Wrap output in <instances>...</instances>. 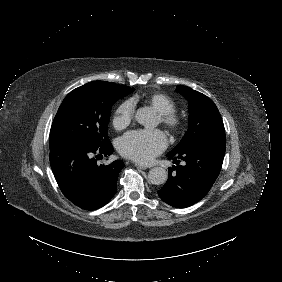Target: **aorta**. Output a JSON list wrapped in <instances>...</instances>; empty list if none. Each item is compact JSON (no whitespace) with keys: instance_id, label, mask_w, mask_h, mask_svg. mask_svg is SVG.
Returning <instances> with one entry per match:
<instances>
[{"instance_id":"aorta-1","label":"aorta","mask_w":282,"mask_h":282,"mask_svg":"<svg viewBox=\"0 0 282 282\" xmlns=\"http://www.w3.org/2000/svg\"><path fill=\"white\" fill-rule=\"evenodd\" d=\"M137 120L140 124L146 127H156L155 115L151 112L149 107L141 108L137 111ZM168 179V173L163 167H153L149 171V180L154 185H162Z\"/></svg>"}]
</instances>
